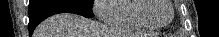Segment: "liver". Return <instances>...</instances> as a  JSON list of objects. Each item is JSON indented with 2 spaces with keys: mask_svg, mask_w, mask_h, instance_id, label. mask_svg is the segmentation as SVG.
<instances>
[{
  "mask_svg": "<svg viewBox=\"0 0 219 37\" xmlns=\"http://www.w3.org/2000/svg\"><path fill=\"white\" fill-rule=\"evenodd\" d=\"M101 25L77 14L61 13L53 15L40 23L33 37H107ZM120 35V34H115Z\"/></svg>",
  "mask_w": 219,
  "mask_h": 37,
  "instance_id": "1",
  "label": "liver"
}]
</instances>
